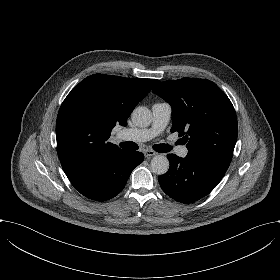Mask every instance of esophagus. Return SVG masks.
I'll return each mask as SVG.
<instances>
[{"instance_id":"1","label":"esophagus","mask_w":280,"mask_h":280,"mask_svg":"<svg viewBox=\"0 0 280 280\" xmlns=\"http://www.w3.org/2000/svg\"><path fill=\"white\" fill-rule=\"evenodd\" d=\"M157 153L151 149L144 150V155L146 158H149L151 156H155Z\"/></svg>"}]
</instances>
